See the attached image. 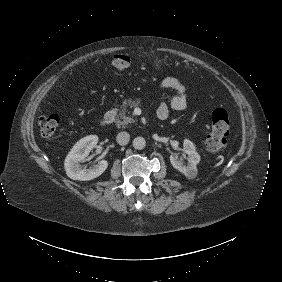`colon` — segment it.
Returning <instances> with one entry per match:
<instances>
[{
	"instance_id": "obj_1",
	"label": "colon",
	"mask_w": 282,
	"mask_h": 282,
	"mask_svg": "<svg viewBox=\"0 0 282 282\" xmlns=\"http://www.w3.org/2000/svg\"><path fill=\"white\" fill-rule=\"evenodd\" d=\"M109 65L118 71H124L131 65V58L123 53L114 54ZM59 125V117L56 114L43 116L39 121V130L43 137L54 136ZM230 132V122L228 113L217 108L211 114L210 128L205 139V145L208 151L219 153L226 148L227 136Z\"/></svg>"
}]
</instances>
